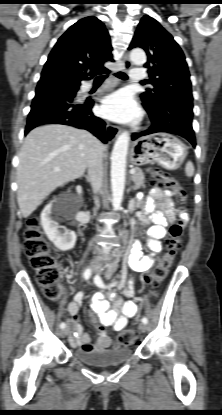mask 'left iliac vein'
<instances>
[{
	"mask_svg": "<svg viewBox=\"0 0 222 415\" xmlns=\"http://www.w3.org/2000/svg\"><path fill=\"white\" fill-rule=\"evenodd\" d=\"M96 273H97V274H100V273H101V270H97V271H96ZM139 330H140L141 332H143V333H144V332H146V331H147V325H146V323H143V322H142V323H140V324H139Z\"/></svg>",
	"mask_w": 222,
	"mask_h": 415,
	"instance_id": "4c4485c4",
	"label": "left iliac vein"
}]
</instances>
